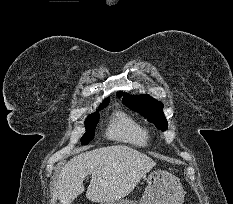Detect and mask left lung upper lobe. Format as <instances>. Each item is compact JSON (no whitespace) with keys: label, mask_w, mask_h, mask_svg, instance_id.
Here are the masks:
<instances>
[{"label":"left lung upper lobe","mask_w":233,"mask_h":204,"mask_svg":"<svg viewBox=\"0 0 233 204\" xmlns=\"http://www.w3.org/2000/svg\"><path fill=\"white\" fill-rule=\"evenodd\" d=\"M118 97H122V102L129 108L143 114L149 121L153 122L158 128L165 131L168 123L164 117L161 102L151 98L148 95L132 96L119 92Z\"/></svg>","instance_id":"1"}]
</instances>
